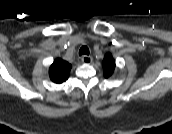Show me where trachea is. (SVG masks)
<instances>
[{
	"instance_id": "obj_1",
	"label": "trachea",
	"mask_w": 172,
	"mask_h": 134,
	"mask_svg": "<svg viewBox=\"0 0 172 134\" xmlns=\"http://www.w3.org/2000/svg\"><path fill=\"white\" fill-rule=\"evenodd\" d=\"M79 55H89V49L87 46H82L79 50Z\"/></svg>"
}]
</instances>
